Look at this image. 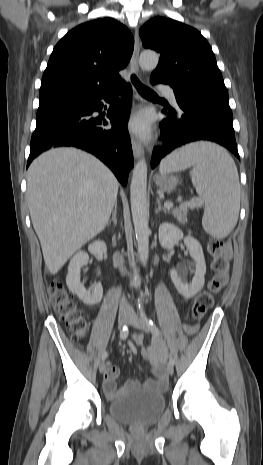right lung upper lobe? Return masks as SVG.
Returning a JSON list of instances; mask_svg holds the SVG:
<instances>
[{
  "label": "right lung upper lobe",
  "instance_id": "cb5924a9",
  "mask_svg": "<svg viewBox=\"0 0 263 465\" xmlns=\"http://www.w3.org/2000/svg\"><path fill=\"white\" fill-rule=\"evenodd\" d=\"M134 38L112 18L83 23L55 46L43 74L39 100L111 91L132 56Z\"/></svg>",
  "mask_w": 263,
  "mask_h": 465
}]
</instances>
